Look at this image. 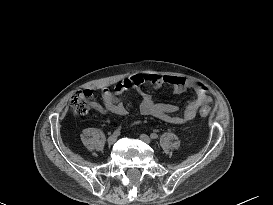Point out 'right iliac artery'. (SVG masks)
I'll return each mask as SVG.
<instances>
[{"label": "right iliac artery", "mask_w": 273, "mask_h": 205, "mask_svg": "<svg viewBox=\"0 0 273 205\" xmlns=\"http://www.w3.org/2000/svg\"><path fill=\"white\" fill-rule=\"evenodd\" d=\"M120 129H116L115 131H114V134L116 135V136H118V135H120Z\"/></svg>", "instance_id": "1"}]
</instances>
